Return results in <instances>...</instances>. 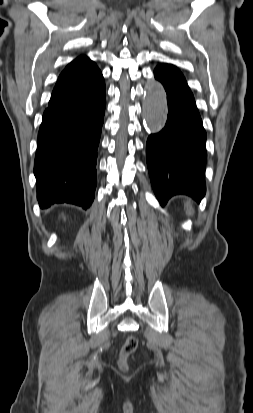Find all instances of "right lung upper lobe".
Wrapping results in <instances>:
<instances>
[{
    "mask_svg": "<svg viewBox=\"0 0 253 413\" xmlns=\"http://www.w3.org/2000/svg\"><path fill=\"white\" fill-rule=\"evenodd\" d=\"M104 81L96 64L86 56L73 60L60 74L49 107L66 103L95 90Z\"/></svg>",
    "mask_w": 253,
    "mask_h": 413,
    "instance_id": "1",
    "label": "right lung upper lobe"
}]
</instances>
